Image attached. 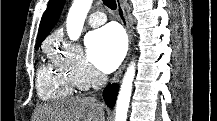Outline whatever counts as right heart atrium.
<instances>
[{
    "label": "right heart atrium",
    "mask_w": 217,
    "mask_h": 121,
    "mask_svg": "<svg viewBox=\"0 0 217 121\" xmlns=\"http://www.w3.org/2000/svg\"><path fill=\"white\" fill-rule=\"evenodd\" d=\"M46 50L53 63L60 66L80 90L101 83V75L91 67L78 45L55 38Z\"/></svg>",
    "instance_id": "right-heart-atrium-1"
}]
</instances>
